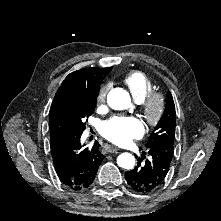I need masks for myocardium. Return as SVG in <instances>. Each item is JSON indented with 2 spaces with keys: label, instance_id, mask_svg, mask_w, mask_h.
Wrapping results in <instances>:
<instances>
[{
  "label": "myocardium",
  "instance_id": "1",
  "mask_svg": "<svg viewBox=\"0 0 221 221\" xmlns=\"http://www.w3.org/2000/svg\"><path fill=\"white\" fill-rule=\"evenodd\" d=\"M164 111L165 101L162 94L158 92H151L141 104V115L151 128L159 125Z\"/></svg>",
  "mask_w": 221,
  "mask_h": 221
}]
</instances>
